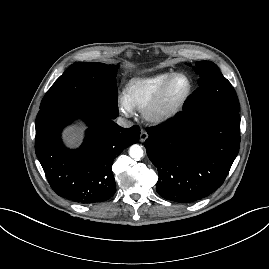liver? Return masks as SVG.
Listing matches in <instances>:
<instances>
[{"mask_svg": "<svg viewBox=\"0 0 269 269\" xmlns=\"http://www.w3.org/2000/svg\"><path fill=\"white\" fill-rule=\"evenodd\" d=\"M81 134L80 132L70 128V129H67L65 131V134H64V138L66 140V142L71 145V146H74V145H77L80 140H81Z\"/></svg>", "mask_w": 269, "mask_h": 269, "instance_id": "1", "label": "liver"}]
</instances>
